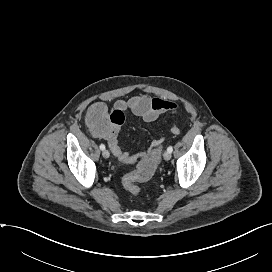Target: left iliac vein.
<instances>
[{
  "instance_id": "left-iliac-vein-1",
  "label": "left iliac vein",
  "mask_w": 272,
  "mask_h": 272,
  "mask_svg": "<svg viewBox=\"0 0 272 272\" xmlns=\"http://www.w3.org/2000/svg\"><path fill=\"white\" fill-rule=\"evenodd\" d=\"M163 157L165 160H170L171 159V153L168 151H165L163 154Z\"/></svg>"
}]
</instances>
